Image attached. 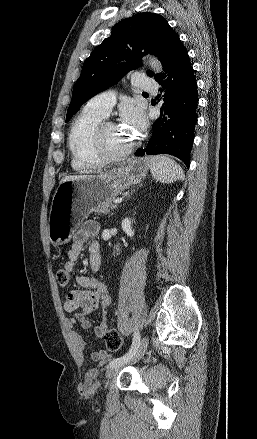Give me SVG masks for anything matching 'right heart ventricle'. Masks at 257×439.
<instances>
[{
	"mask_svg": "<svg viewBox=\"0 0 257 439\" xmlns=\"http://www.w3.org/2000/svg\"><path fill=\"white\" fill-rule=\"evenodd\" d=\"M104 117L100 113L85 108L70 129L68 144L72 166L79 172H91L101 164L95 149L94 138Z\"/></svg>",
	"mask_w": 257,
	"mask_h": 439,
	"instance_id": "obj_1",
	"label": "right heart ventricle"
}]
</instances>
